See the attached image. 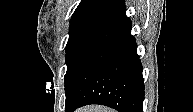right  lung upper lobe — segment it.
Returning a JSON list of instances; mask_svg holds the SVG:
<instances>
[{"label": "right lung upper lobe", "mask_w": 193, "mask_h": 112, "mask_svg": "<svg viewBox=\"0 0 193 112\" xmlns=\"http://www.w3.org/2000/svg\"><path fill=\"white\" fill-rule=\"evenodd\" d=\"M130 24L124 0H82L71 17L69 30L98 28L117 33Z\"/></svg>", "instance_id": "1"}]
</instances>
